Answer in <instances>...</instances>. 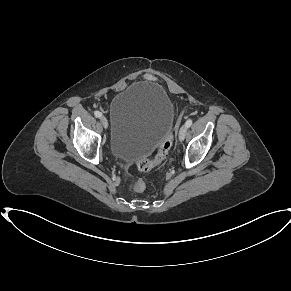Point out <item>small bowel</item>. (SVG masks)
I'll return each mask as SVG.
<instances>
[{
	"mask_svg": "<svg viewBox=\"0 0 291 291\" xmlns=\"http://www.w3.org/2000/svg\"><path fill=\"white\" fill-rule=\"evenodd\" d=\"M146 78L153 79L154 77L152 75L148 74V75H146Z\"/></svg>",
	"mask_w": 291,
	"mask_h": 291,
	"instance_id": "small-bowel-1",
	"label": "small bowel"
}]
</instances>
